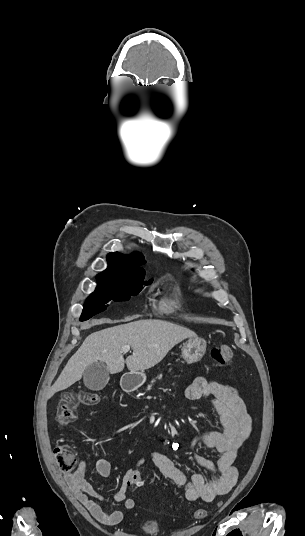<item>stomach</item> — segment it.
Wrapping results in <instances>:
<instances>
[{
  "mask_svg": "<svg viewBox=\"0 0 305 536\" xmlns=\"http://www.w3.org/2000/svg\"><path fill=\"white\" fill-rule=\"evenodd\" d=\"M207 344L203 338H189L187 342H184L182 346V358L188 364H194V362H200L206 352ZM128 380L131 388H139L144 384L146 378L142 374H128Z\"/></svg>",
  "mask_w": 305,
  "mask_h": 536,
  "instance_id": "stomach-1",
  "label": "stomach"
}]
</instances>
